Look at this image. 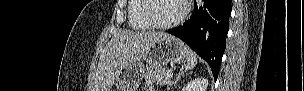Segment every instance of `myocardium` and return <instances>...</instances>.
<instances>
[{
    "label": "myocardium",
    "instance_id": "obj_1",
    "mask_svg": "<svg viewBox=\"0 0 304 91\" xmlns=\"http://www.w3.org/2000/svg\"><path fill=\"white\" fill-rule=\"evenodd\" d=\"M142 1H143V7H142L143 19L150 25L151 28L158 30H167L180 25L186 19L189 12L188 2L186 0H180L182 3L181 14L175 20L169 23H157L153 20V18L150 15L151 1L153 0H142Z\"/></svg>",
    "mask_w": 304,
    "mask_h": 91
}]
</instances>
